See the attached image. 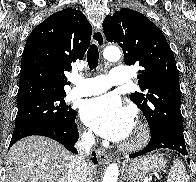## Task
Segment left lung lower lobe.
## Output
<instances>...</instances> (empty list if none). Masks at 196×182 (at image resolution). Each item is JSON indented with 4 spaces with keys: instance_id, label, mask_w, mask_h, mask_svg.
I'll list each match as a JSON object with an SVG mask.
<instances>
[{
    "instance_id": "left-lung-lower-lobe-1",
    "label": "left lung lower lobe",
    "mask_w": 196,
    "mask_h": 182,
    "mask_svg": "<svg viewBox=\"0 0 196 182\" xmlns=\"http://www.w3.org/2000/svg\"><path fill=\"white\" fill-rule=\"evenodd\" d=\"M160 148H168L182 155H188L183 134L161 129L158 132L151 134V139L144 149L130 154L129 157L135 158ZM187 161L190 163L189 159H187Z\"/></svg>"
}]
</instances>
